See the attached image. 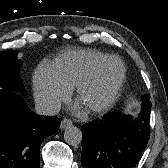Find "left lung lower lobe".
Instances as JSON below:
<instances>
[{
	"label": "left lung lower lobe",
	"mask_w": 168,
	"mask_h": 168,
	"mask_svg": "<svg viewBox=\"0 0 168 168\" xmlns=\"http://www.w3.org/2000/svg\"><path fill=\"white\" fill-rule=\"evenodd\" d=\"M150 112L149 96L144 95L136 118L115 111L83 125V167L134 168L150 138Z\"/></svg>",
	"instance_id": "left-lung-lower-lobe-1"
}]
</instances>
